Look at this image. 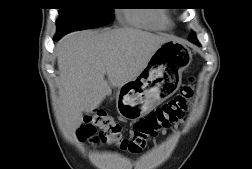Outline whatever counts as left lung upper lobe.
Returning <instances> with one entry per match:
<instances>
[{"instance_id":"5c2ea615","label":"left lung upper lobe","mask_w":252,"mask_h":169,"mask_svg":"<svg viewBox=\"0 0 252 169\" xmlns=\"http://www.w3.org/2000/svg\"><path fill=\"white\" fill-rule=\"evenodd\" d=\"M195 38V34L192 32L190 35H189V39H193Z\"/></svg>"}]
</instances>
